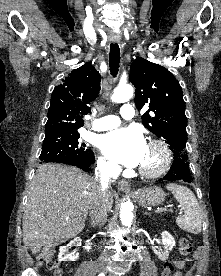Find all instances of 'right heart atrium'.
Wrapping results in <instances>:
<instances>
[{"instance_id":"right-heart-atrium-1","label":"right heart atrium","mask_w":221,"mask_h":276,"mask_svg":"<svg viewBox=\"0 0 221 276\" xmlns=\"http://www.w3.org/2000/svg\"><path fill=\"white\" fill-rule=\"evenodd\" d=\"M97 165L98 168L105 174L115 175L118 172V167L104 157H99Z\"/></svg>"}]
</instances>
